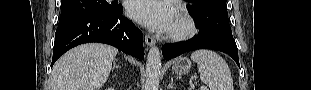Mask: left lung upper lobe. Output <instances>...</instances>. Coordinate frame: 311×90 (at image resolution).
<instances>
[{"label":"left lung upper lobe","instance_id":"left-lung-upper-lobe-1","mask_svg":"<svg viewBox=\"0 0 311 90\" xmlns=\"http://www.w3.org/2000/svg\"><path fill=\"white\" fill-rule=\"evenodd\" d=\"M189 12L199 24V31L219 30L232 34L226 0H186Z\"/></svg>","mask_w":311,"mask_h":90}]
</instances>
